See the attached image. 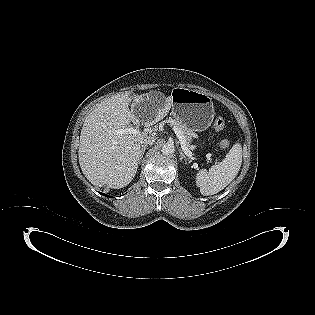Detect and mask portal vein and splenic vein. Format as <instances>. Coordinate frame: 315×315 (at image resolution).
<instances>
[{"label": "portal vein and splenic vein", "mask_w": 315, "mask_h": 315, "mask_svg": "<svg viewBox=\"0 0 315 315\" xmlns=\"http://www.w3.org/2000/svg\"><path fill=\"white\" fill-rule=\"evenodd\" d=\"M173 130H174L176 136L178 137L179 141L181 142L182 150L184 151V153L187 156L191 157L192 153H191V151L189 150V148L187 146L186 138H185L184 134L177 127H173ZM116 133L117 134H127V133L137 134V133H139V131L136 128H134V127H129V128H126V129H120V130L116 131Z\"/></svg>", "instance_id": "18ae733b"}]
</instances>
